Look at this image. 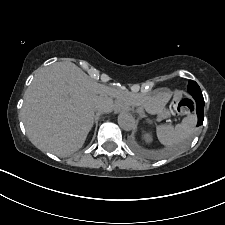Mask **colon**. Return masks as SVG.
I'll return each mask as SVG.
<instances>
[{
    "instance_id": "obj_1",
    "label": "colon",
    "mask_w": 225,
    "mask_h": 225,
    "mask_svg": "<svg viewBox=\"0 0 225 225\" xmlns=\"http://www.w3.org/2000/svg\"><path fill=\"white\" fill-rule=\"evenodd\" d=\"M195 109V103L191 98L182 97L176 93L171 104V110L176 114H191Z\"/></svg>"
}]
</instances>
